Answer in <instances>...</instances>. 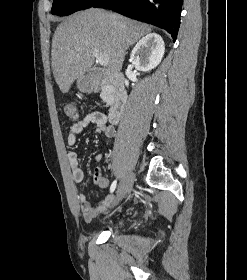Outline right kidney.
<instances>
[{
    "label": "right kidney",
    "instance_id": "obj_1",
    "mask_svg": "<svg viewBox=\"0 0 247 280\" xmlns=\"http://www.w3.org/2000/svg\"><path fill=\"white\" fill-rule=\"evenodd\" d=\"M164 52L165 45L162 37L157 33H149L133 48L131 53L132 64L137 70L149 71L159 65ZM125 85H129L127 80Z\"/></svg>",
    "mask_w": 247,
    "mask_h": 280
}]
</instances>
